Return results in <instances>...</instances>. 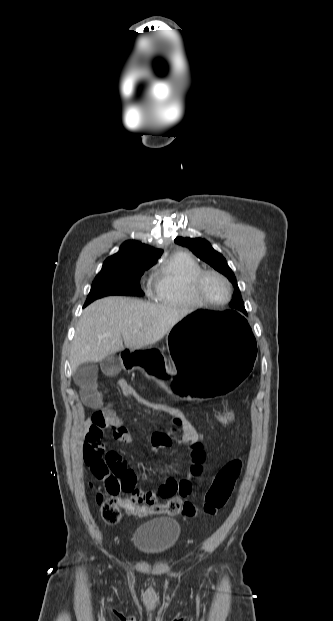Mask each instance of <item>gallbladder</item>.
Returning a JSON list of instances; mask_svg holds the SVG:
<instances>
[{
	"label": "gallbladder",
	"instance_id": "obj_1",
	"mask_svg": "<svg viewBox=\"0 0 333 621\" xmlns=\"http://www.w3.org/2000/svg\"><path fill=\"white\" fill-rule=\"evenodd\" d=\"M97 366L93 362L79 365L73 372V379L78 385H86L93 382L97 377Z\"/></svg>",
	"mask_w": 333,
	"mask_h": 621
}]
</instances>
